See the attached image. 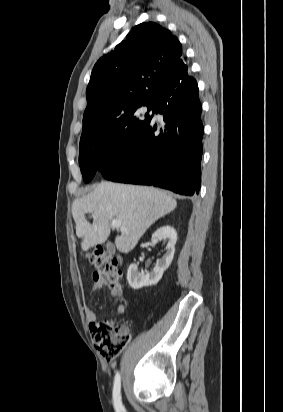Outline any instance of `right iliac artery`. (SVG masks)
Instances as JSON below:
<instances>
[{
  "label": "right iliac artery",
  "instance_id": "1",
  "mask_svg": "<svg viewBox=\"0 0 283 412\" xmlns=\"http://www.w3.org/2000/svg\"><path fill=\"white\" fill-rule=\"evenodd\" d=\"M121 377L119 372L116 373L114 386H113V401L114 406L117 412H121L123 410V405L121 401Z\"/></svg>",
  "mask_w": 283,
  "mask_h": 412
}]
</instances>
